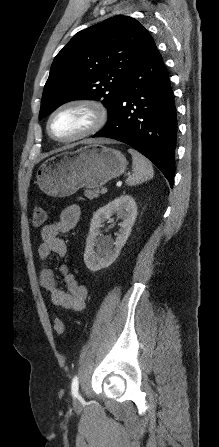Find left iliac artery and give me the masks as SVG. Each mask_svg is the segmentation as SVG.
<instances>
[{"mask_svg": "<svg viewBox=\"0 0 219 447\" xmlns=\"http://www.w3.org/2000/svg\"><path fill=\"white\" fill-rule=\"evenodd\" d=\"M78 388H79V381H78V377L75 376L72 380V384H71V391H72V395L74 397H78Z\"/></svg>", "mask_w": 219, "mask_h": 447, "instance_id": "1", "label": "left iliac artery"}]
</instances>
